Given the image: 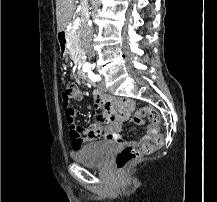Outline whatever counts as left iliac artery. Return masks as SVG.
<instances>
[{"label": "left iliac artery", "instance_id": "obj_1", "mask_svg": "<svg viewBox=\"0 0 217 202\" xmlns=\"http://www.w3.org/2000/svg\"><path fill=\"white\" fill-rule=\"evenodd\" d=\"M90 79L94 82L101 80L99 75H95L93 72L90 71Z\"/></svg>", "mask_w": 217, "mask_h": 202}]
</instances>
